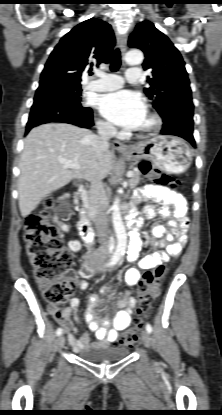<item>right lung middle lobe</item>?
Returning a JSON list of instances; mask_svg holds the SVG:
<instances>
[{
    "label": "right lung middle lobe",
    "instance_id": "right-lung-middle-lobe-1",
    "mask_svg": "<svg viewBox=\"0 0 222 415\" xmlns=\"http://www.w3.org/2000/svg\"><path fill=\"white\" fill-rule=\"evenodd\" d=\"M63 84L65 86V89L74 97L76 98L78 101L81 100V86L78 85H72L68 82L63 81Z\"/></svg>",
    "mask_w": 222,
    "mask_h": 415
}]
</instances>
